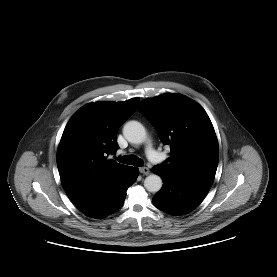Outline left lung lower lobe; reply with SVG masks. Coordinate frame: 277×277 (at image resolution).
<instances>
[{"mask_svg": "<svg viewBox=\"0 0 277 277\" xmlns=\"http://www.w3.org/2000/svg\"><path fill=\"white\" fill-rule=\"evenodd\" d=\"M153 172L161 176L164 185L153 197L154 205L169 214L183 215L195 209L205 198L212 183L197 179H184L154 166Z\"/></svg>", "mask_w": 277, "mask_h": 277, "instance_id": "1", "label": "left lung lower lobe"}]
</instances>
